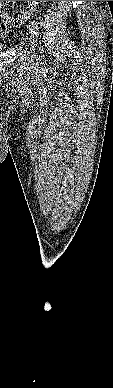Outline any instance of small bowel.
Here are the masks:
<instances>
[{"label":"small bowel","instance_id":"c3829d8e","mask_svg":"<svg viewBox=\"0 0 113 388\" xmlns=\"http://www.w3.org/2000/svg\"><path fill=\"white\" fill-rule=\"evenodd\" d=\"M11 1H0V9H2L5 6V3H9Z\"/></svg>","mask_w":113,"mask_h":388}]
</instances>
